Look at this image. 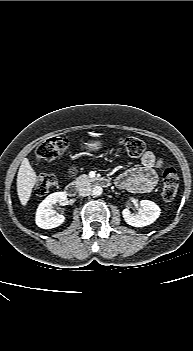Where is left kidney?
I'll use <instances>...</instances> for the list:
<instances>
[{
	"instance_id": "1",
	"label": "left kidney",
	"mask_w": 193,
	"mask_h": 351,
	"mask_svg": "<svg viewBox=\"0 0 193 351\" xmlns=\"http://www.w3.org/2000/svg\"><path fill=\"white\" fill-rule=\"evenodd\" d=\"M141 209L138 213H131L129 209L122 211L125 222L134 227H144L152 224L160 216L161 209L159 206L150 200L140 201Z\"/></svg>"
}]
</instances>
